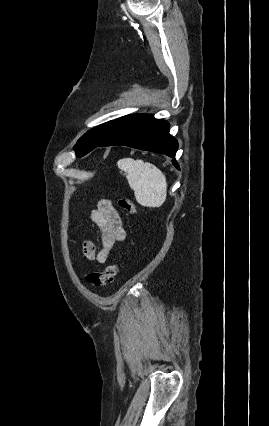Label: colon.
Returning a JSON list of instances; mask_svg holds the SVG:
<instances>
[{"label": "colon", "instance_id": "5ec220e1", "mask_svg": "<svg viewBox=\"0 0 269 426\" xmlns=\"http://www.w3.org/2000/svg\"><path fill=\"white\" fill-rule=\"evenodd\" d=\"M118 206L128 214L136 212L135 202L131 198L118 199ZM119 272L118 264L107 265L101 271H92L86 275V282L94 288H100L111 282Z\"/></svg>", "mask_w": 269, "mask_h": 426}]
</instances>
